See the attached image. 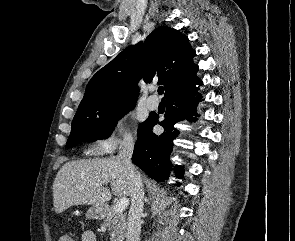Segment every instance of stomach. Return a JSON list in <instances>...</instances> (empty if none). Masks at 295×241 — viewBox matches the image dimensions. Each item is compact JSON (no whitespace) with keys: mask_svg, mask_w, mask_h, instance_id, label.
<instances>
[{"mask_svg":"<svg viewBox=\"0 0 295 241\" xmlns=\"http://www.w3.org/2000/svg\"><path fill=\"white\" fill-rule=\"evenodd\" d=\"M105 215V207L100 204H92L86 212L87 219H101Z\"/></svg>","mask_w":295,"mask_h":241,"instance_id":"1","label":"stomach"}]
</instances>
